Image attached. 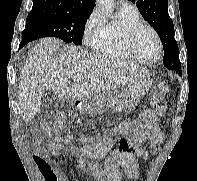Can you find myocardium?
<instances>
[{"label":"myocardium","mask_w":197,"mask_h":181,"mask_svg":"<svg viewBox=\"0 0 197 181\" xmlns=\"http://www.w3.org/2000/svg\"><path fill=\"white\" fill-rule=\"evenodd\" d=\"M144 30L150 31L157 41L159 51H158L157 57L154 60H146V59L142 58L138 53L136 42H137L139 35ZM126 44H127L128 50L133 55L135 60H137L141 63H144V64L157 63L161 59L162 54H163V44H162L160 35L152 26H150L149 24H146V23L137 24L129 30V32L127 34V38H126Z\"/></svg>","instance_id":"f54148a6"}]
</instances>
